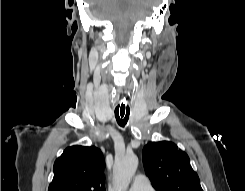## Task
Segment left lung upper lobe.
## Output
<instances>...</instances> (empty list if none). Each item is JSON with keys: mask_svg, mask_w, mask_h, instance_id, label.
Segmentation results:
<instances>
[{"mask_svg": "<svg viewBox=\"0 0 245 191\" xmlns=\"http://www.w3.org/2000/svg\"><path fill=\"white\" fill-rule=\"evenodd\" d=\"M145 172L157 191H203L188 155L168 141L143 148Z\"/></svg>", "mask_w": 245, "mask_h": 191, "instance_id": "obj_1", "label": "left lung upper lobe"}]
</instances>
